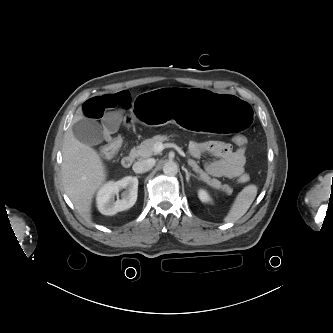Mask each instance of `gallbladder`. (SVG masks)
Wrapping results in <instances>:
<instances>
[{
  "mask_svg": "<svg viewBox=\"0 0 333 333\" xmlns=\"http://www.w3.org/2000/svg\"><path fill=\"white\" fill-rule=\"evenodd\" d=\"M72 131L75 138L86 145L92 146L103 141V129L92 119H80L73 124Z\"/></svg>",
  "mask_w": 333,
  "mask_h": 333,
  "instance_id": "bac80fb5",
  "label": "gallbladder"
}]
</instances>
